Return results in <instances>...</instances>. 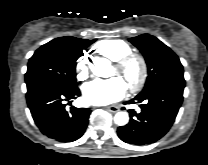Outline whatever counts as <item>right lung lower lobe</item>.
<instances>
[{"label":"right lung lower lobe","instance_id":"1","mask_svg":"<svg viewBox=\"0 0 208 165\" xmlns=\"http://www.w3.org/2000/svg\"><path fill=\"white\" fill-rule=\"evenodd\" d=\"M80 96L78 87L64 89L44 85L26 94L27 104L40 131L59 142H72L85 132L91 110L72 106L67 111L65 101Z\"/></svg>","mask_w":208,"mask_h":165}]
</instances>
